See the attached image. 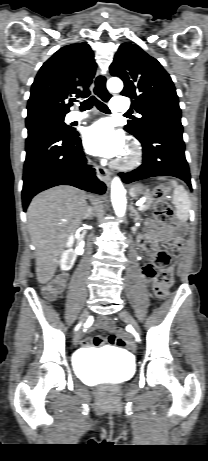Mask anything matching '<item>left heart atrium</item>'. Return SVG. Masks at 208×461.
Segmentation results:
<instances>
[{"instance_id": "1", "label": "left heart atrium", "mask_w": 208, "mask_h": 461, "mask_svg": "<svg viewBox=\"0 0 208 461\" xmlns=\"http://www.w3.org/2000/svg\"><path fill=\"white\" fill-rule=\"evenodd\" d=\"M83 140L85 148L93 155L111 158L124 153V136L114 130L108 121H98L88 127Z\"/></svg>"}]
</instances>
